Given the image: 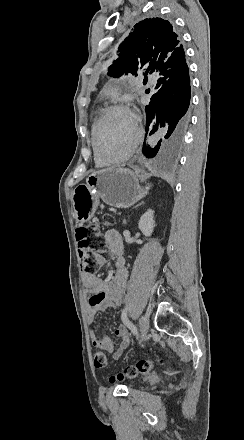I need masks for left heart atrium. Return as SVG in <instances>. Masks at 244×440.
Returning <instances> with one entry per match:
<instances>
[{
    "label": "left heart atrium",
    "mask_w": 244,
    "mask_h": 440,
    "mask_svg": "<svg viewBox=\"0 0 244 440\" xmlns=\"http://www.w3.org/2000/svg\"><path fill=\"white\" fill-rule=\"evenodd\" d=\"M129 114H130L132 123H133L134 128H135L134 137H137L138 134H139V129H138L139 114L136 111H131Z\"/></svg>",
    "instance_id": "1"
}]
</instances>
